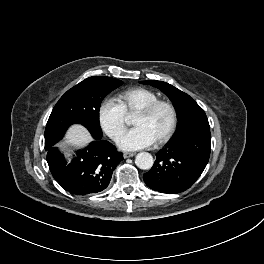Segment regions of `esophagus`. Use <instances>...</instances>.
Segmentation results:
<instances>
[{"label":"esophagus","mask_w":264,"mask_h":264,"mask_svg":"<svg viewBox=\"0 0 264 264\" xmlns=\"http://www.w3.org/2000/svg\"><path fill=\"white\" fill-rule=\"evenodd\" d=\"M135 155H136L135 152H125V153L123 154V157H124V158H130V157H133V156H135Z\"/></svg>","instance_id":"esophagus-1"}]
</instances>
